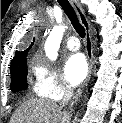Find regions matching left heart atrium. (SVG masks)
<instances>
[{
  "label": "left heart atrium",
  "mask_w": 122,
  "mask_h": 123,
  "mask_svg": "<svg viewBox=\"0 0 122 123\" xmlns=\"http://www.w3.org/2000/svg\"><path fill=\"white\" fill-rule=\"evenodd\" d=\"M88 65L83 54L69 55L64 62V76L71 86H77L85 79Z\"/></svg>",
  "instance_id": "obj_1"
}]
</instances>
